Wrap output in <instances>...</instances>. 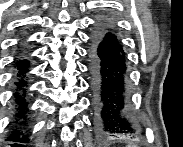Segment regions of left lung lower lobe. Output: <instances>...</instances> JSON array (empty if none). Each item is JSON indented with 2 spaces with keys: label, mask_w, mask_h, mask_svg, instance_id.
I'll return each instance as SVG.
<instances>
[{
  "label": "left lung lower lobe",
  "mask_w": 183,
  "mask_h": 147,
  "mask_svg": "<svg viewBox=\"0 0 183 147\" xmlns=\"http://www.w3.org/2000/svg\"><path fill=\"white\" fill-rule=\"evenodd\" d=\"M92 42L89 56L96 129L101 136L136 133L139 127L128 108L122 45L106 27L96 29Z\"/></svg>",
  "instance_id": "left-lung-lower-lobe-1"
}]
</instances>
